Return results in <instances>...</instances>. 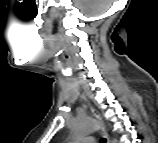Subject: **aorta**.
Instances as JSON below:
<instances>
[{"mask_svg": "<svg viewBox=\"0 0 158 143\" xmlns=\"http://www.w3.org/2000/svg\"><path fill=\"white\" fill-rule=\"evenodd\" d=\"M100 127L101 125L97 121L86 118L78 121L75 124L73 132L75 137H83L91 132L98 130ZM113 142L115 143V141Z\"/></svg>", "mask_w": 158, "mask_h": 143, "instance_id": "aorta-1", "label": "aorta"}]
</instances>
